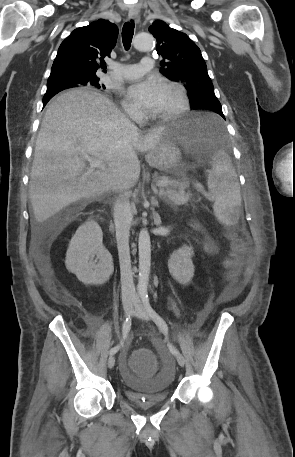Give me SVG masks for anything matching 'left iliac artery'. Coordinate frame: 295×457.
Segmentation results:
<instances>
[{
    "mask_svg": "<svg viewBox=\"0 0 295 457\" xmlns=\"http://www.w3.org/2000/svg\"><path fill=\"white\" fill-rule=\"evenodd\" d=\"M142 301H143L145 309L147 310L150 317L154 320V322L157 324L159 329L167 336L168 335V326H167L165 320L160 315H158L151 307V305L149 303V297L147 294H142ZM168 348L172 354H174V355L179 354V351L177 350V348H175L172 344L168 343Z\"/></svg>",
    "mask_w": 295,
    "mask_h": 457,
    "instance_id": "obj_1",
    "label": "left iliac artery"
}]
</instances>
